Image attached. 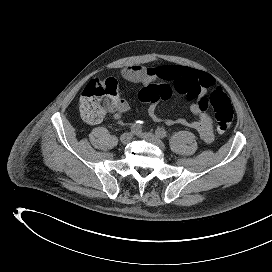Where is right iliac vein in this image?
<instances>
[{
	"label": "right iliac vein",
	"mask_w": 272,
	"mask_h": 272,
	"mask_svg": "<svg viewBox=\"0 0 272 272\" xmlns=\"http://www.w3.org/2000/svg\"><path fill=\"white\" fill-rule=\"evenodd\" d=\"M131 140H132V133H130V132H126V133L122 134L120 137V141L124 145L128 144Z\"/></svg>",
	"instance_id": "1"
}]
</instances>
